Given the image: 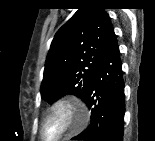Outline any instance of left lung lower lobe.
Masks as SVG:
<instances>
[{
    "label": "left lung lower lobe",
    "mask_w": 155,
    "mask_h": 141,
    "mask_svg": "<svg viewBox=\"0 0 155 141\" xmlns=\"http://www.w3.org/2000/svg\"><path fill=\"white\" fill-rule=\"evenodd\" d=\"M83 101L91 110L90 126L72 140L123 141L125 95L116 36L106 47Z\"/></svg>",
    "instance_id": "obj_1"
}]
</instances>
